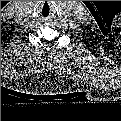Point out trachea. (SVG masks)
I'll list each match as a JSON object with an SVG mask.
<instances>
[{"label":"trachea","instance_id":"trachea-1","mask_svg":"<svg viewBox=\"0 0 121 121\" xmlns=\"http://www.w3.org/2000/svg\"><path fill=\"white\" fill-rule=\"evenodd\" d=\"M52 11H51V5L45 1L40 7V15L43 18L50 17Z\"/></svg>","mask_w":121,"mask_h":121}]
</instances>
